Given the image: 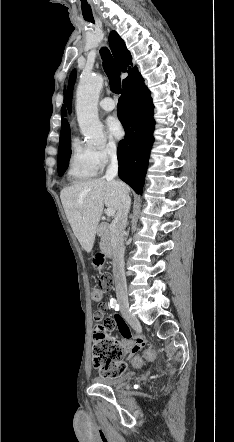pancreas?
<instances>
[{"label": "pancreas", "instance_id": "cf45deb5", "mask_svg": "<svg viewBox=\"0 0 234 442\" xmlns=\"http://www.w3.org/2000/svg\"><path fill=\"white\" fill-rule=\"evenodd\" d=\"M109 239H110L109 230H108L107 226H104V230H103L102 238H101V242H100V248H101V250H103L106 253H110V251H111Z\"/></svg>", "mask_w": 234, "mask_h": 442}]
</instances>
